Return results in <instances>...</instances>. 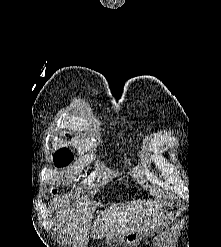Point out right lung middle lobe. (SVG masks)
I'll use <instances>...</instances> for the list:
<instances>
[{
  "label": "right lung middle lobe",
  "instance_id": "right-lung-middle-lobe-1",
  "mask_svg": "<svg viewBox=\"0 0 221 247\" xmlns=\"http://www.w3.org/2000/svg\"><path fill=\"white\" fill-rule=\"evenodd\" d=\"M72 160H73V155L66 148H62L58 150L54 155V161L57 167H64L68 165L70 162H72ZM53 193L55 194L56 190H54Z\"/></svg>",
  "mask_w": 221,
  "mask_h": 247
}]
</instances>
